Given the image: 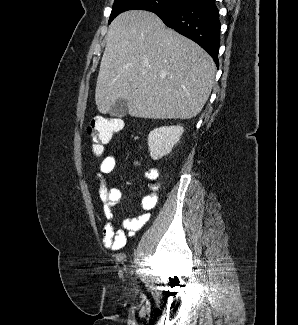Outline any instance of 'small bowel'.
<instances>
[{"label":"small bowel","instance_id":"small-bowel-1","mask_svg":"<svg viewBox=\"0 0 298 325\" xmlns=\"http://www.w3.org/2000/svg\"><path fill=\"white\" fill-rule=\"evenodd\" d=\"M115 167V156H106L100 162L96 176L101 180L99 197L106 218L103 228V244L110 250L118 251L125 246L127 237H133L150 219L151 213L157 204L156 192L159 189V171L157 168L151 167L145 172L147 188L150 193L142 199L141 208L143 213L138 217L125 218L122 222V228H118L113 207L122 199V192L118 188H108L104 183L105 177L111 174Z\"/></svg>","mask_w":298,"mask_h":325}]
</instances>
